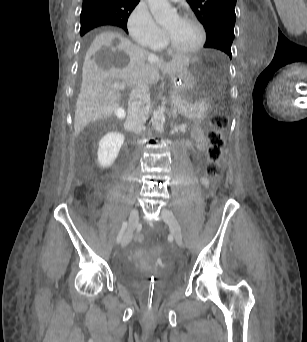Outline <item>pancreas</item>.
I'll return each mask as SVG.
<instances>
[{
  "mask_svg": "<svg viewBox=\"0 0 307 342\" xmlns=\"http://www.w3.org/2000/svg\"><path fill=\"white\" fill-rule=\"evenodd\" d=\"M172 100L178 104H186L190 100L185 97L184 94H173ZM193 106H182V111L185 113L186 117H204L208 109L207 103H191ZM196 104V106H195Z\"/></svg>",
  "mask_w": 307,
  "mask_h": 342,
  "instance_id": "pancreas-1",
  "label": "pancreas"
}]
</instances>
